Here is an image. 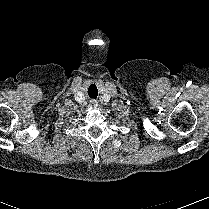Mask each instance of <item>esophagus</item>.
<instances>
[{
	"instance_id": "obj_1",
	"label": "esophagus",
	"mask_w": 209,
	"mask_h": 209,
	"mask_svg": "<svg viewBox=\"0 0 209 209\" xmlns=\"http://www.w3.org/2000/svg\"><path fill=\"white\" fill-rule=\"evenodd\" d=\"M90 103H91L92 106L96 105V102L94 100H91Z\"/></svg>"
}]
</instances>
